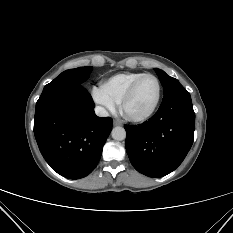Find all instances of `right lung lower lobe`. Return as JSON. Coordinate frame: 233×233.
Masks as SVG:
<instances>
[{
  "instance_id": "right-lung-lower-lobe-1",
  "label": "right lung lower lobe",
  "mask_w": 233,
  "mask_h": 233,
  "mask_svg": "<svg viewBox=\"0 0 233 233\" xmlns=\"http://www.w3.org/2000/svg\"><path fill=\"white\" fill-rule=\"evenodd\" d=\"M81 85L44 89L36 103L34 134L46 162L63 177L80 179L97 166L112 130V119L98 117Z\"/></svg>"
}]
</instances>
